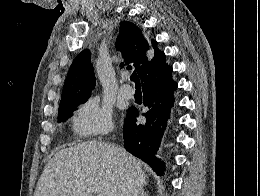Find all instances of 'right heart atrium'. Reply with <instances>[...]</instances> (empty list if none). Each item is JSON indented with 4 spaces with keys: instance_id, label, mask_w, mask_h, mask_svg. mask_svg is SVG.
Here are the masks:
<instances>
[{
    "instance_id": "1",
    "label": "right heart atrium",
    "mask_w": 260,
    "mask_h": 196,
    "mask_svg": "<svg viewBox=\"0 0 260 196\" xmlns=\"http://www.w3.org/2000/svg\"><path fill=\"white\" fill-rule=\"evenodd\" d=\"M112 126V110L96 94L82 102L72 118L73 131L82 138L80 143H106L95 136L109 131Z\"/></svg>"
}]
</instances>
